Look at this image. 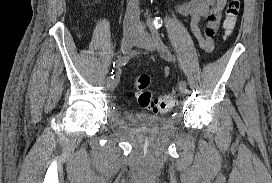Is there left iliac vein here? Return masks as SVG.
<instances>
[{
    "label": "left iliac vein",
    "mask_w": 272,
    "mask_h": 183,
    "mask_svg": "<svg viewBox=\"0 0 272 183\" xmlns=\"http://www.w3.org/2000/svg\"><path fill=\"white\" fill-rule=\"evenodd\" d=\"M136 46L145 48L149 51H154L156 49V41L154 38L145 31H142L137 34V40H136ZM180 94L185 95L188 93V90L185 88H180L179 89Z\"/></svg>",
    "instance_id": "left-iliac-vein-1"
}]
</instances>
